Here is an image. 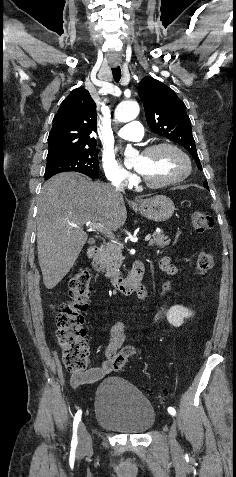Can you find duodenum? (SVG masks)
Segmentation results:
<instances>
[{"mask_svg": "<svg viewBox=\"0 0 236 477\" xmlns=\"http://www.w3.org/2000/svg\"><path fill=\"white\" fill-rule=\"evenodd\" d=\"M100 248L93 246L88 250V256L94 266H97L100 259ZM144 264L141 260L133 263L130 274L126 278L114 277L111 279L113 287L122 295H130L136 290H141L143 285Z\"/></svg>", "mask_w": 236, "mask_h": 477, "instance_id": "duodenum-1", "label": "duodenum"}]
</instances>
